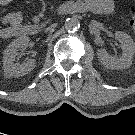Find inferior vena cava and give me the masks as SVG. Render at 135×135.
<instances>
[{
  "label": "inferior vena cava",
  "mask_w": 135,
  "mask_h": 135,
  "mask_svg": "<svg viewBox=\"0 0 135 135\" xmlns=\"http://www.w3.org/2000/svg\"><path fill=\"white\" fill-rule=\"evenodd\" d=\"M54 27L55 25H51L50 27L46 28L45 32L51 31Z\"/></svg>",
  "instance_id": "obj_1"
}]
</instances>
